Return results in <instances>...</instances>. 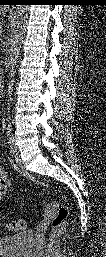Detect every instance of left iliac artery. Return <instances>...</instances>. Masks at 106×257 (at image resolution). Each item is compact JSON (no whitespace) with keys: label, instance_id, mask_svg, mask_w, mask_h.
I'll list each match as a JSON object with an SVG mask.
<instances>
[{"label":"left iliac artery","instance_id":"left-iliac-artery-1","mask_svg":"<svg viewBox=\"0 0 106 257\" xmlns=\"http://www.w3.org/2000/svg\"><path fill=\"white\" fill-rule=\"evenodd\" d=\"M6 138H7V142L9 144H11L12 139H13V135H12L11 129H7V131H6Z\"/></svg>","mask_w":106,"mask_h":257}]
</instances>
